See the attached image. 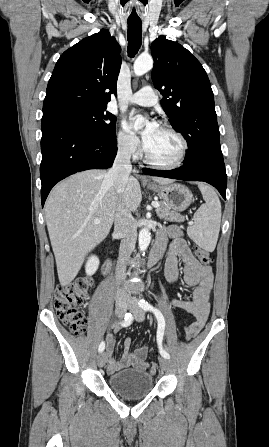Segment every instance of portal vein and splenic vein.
<instances>
[{"label": "portal vein and splenic vein", "mask_w": 269, "mask_h": 447, "mask_svg": "<svg viewBox=\"0 0 269 447\" xmlns=\"http://www.w3.org/2000/svg\"><path fill=\"white\" fill-rule=\"evenodd\" d=\"M152 206L159 208V202H152ZM94 224H100V220H94ZM188 224H192V222H188Z\"/></svg>", "instance_id": "portal-vein-and-splenic-vein-1"}]
</instances>
